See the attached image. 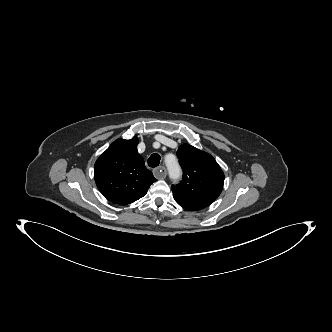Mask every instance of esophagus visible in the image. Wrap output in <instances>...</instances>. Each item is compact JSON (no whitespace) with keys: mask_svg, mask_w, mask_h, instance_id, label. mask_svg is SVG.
<instances>
[{"mask_svg":"<svg viewBox=\"0 0 332 332\" xmlns=\"http://www.w3.org/2000/svg\"><path fill=\"white\" fill-rule=\"evenodd\" d=\"M153 174L157 179H165L167 170L164 166H159L154 169Z\"/></svg>","mask_w":332,"mask_h":332,"instance_id":"obj_1","label":"esophagus"}]
</instances>
